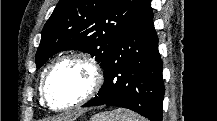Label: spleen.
<instances>
[{
    "instance_id": "spleen-1",
    "label": "spleen",
    "mask_w": 217,
    "mask_h": 121,
    "mask_svg": "<svg viewBox=\"0 0 217 121\" xmlns=\"http://www.w3.org/2000/svg\"><path fill=\"white\" fill-rule=\"evenodd\" d=\"M92 121H144L137 114L126 109H116L92 117Z\"/></svg>"
}]
</instances>
